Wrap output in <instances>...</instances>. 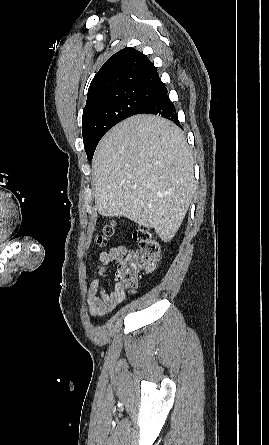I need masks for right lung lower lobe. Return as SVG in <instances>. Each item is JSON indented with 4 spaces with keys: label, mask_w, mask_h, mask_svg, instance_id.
<instances>
[{
    "label": "right lung lower lobe",
    "mask_w": 269,
    "mask_h": 445,
    "mask_svg": "<svg viewBox=\"0 0 269 445\" xmlns=\"http://www.w3.org/2000/svg\"><path fill=\"white\" fill-rule=\"evenodd\" d=\"M155 88L157 89L158 95L142 106L136 114L148 113L160 115L178 125L175 107L168 98L166 87L160 82Z\"/></svg>",
    "instance_id": "1"
}]
</instances>
